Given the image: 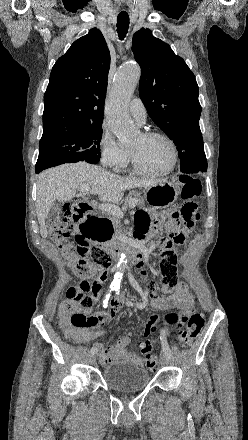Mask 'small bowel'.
Wrapping results in <instances>:
<instances>
[{
  "instance_id": "1",
  "label": "small bowel",
  "mask_w": 248,
  "mask_h": 440,
  "mask_svg": "<svg viewBox=\"0 0 248 440\" xmlns=\"http://www.w3.org/2000/svg\"><path fill=\"white\" fill-rule=\"evenodd\" d=\"M161 225V216L157 214L150 215L145 211H140L135 216L136 236L143 239L147 235H152ZM192 228V227H191ZM191 228L187 229L190 230ZM180 261L177 257H159L156 263V269L161 277V288L158 290V282L155 279L148 280L149 289H143L139 284H135L136 290L141 297L140 306L150 302L154 309L170 310L180 308L182 311H190L194 305V300L189 293L188 288L178 280ZM97 279L98 290L97 298L101 293V287L108 278L110 268L104 267ZM145 277L147 272L142 270ZM170 294V295H165ZM118 306L112 302L108 309L92 313L88 309H79L78 307L68 306L63 302L58 309L59 325L65 336L77 343L95 341L94 346L99 350V360L102 365H108L119 360H125L137 365H143L144 360L133 352L128 350V345L132 340L131 334L121 336L115 347H104L98 340L103 336L100 329L107 321L111 320L118 313ZM74 312H82L89 317L91 323L86 327H75L71 323V316Z\"/></svg>"
}]
</instances>
